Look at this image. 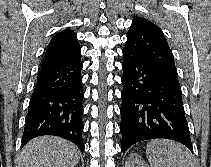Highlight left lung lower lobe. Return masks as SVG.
Here are the masks:
<instances>
[{"mask_svg": "<svg viewBox=\"0 0 211 167\" xmlns=\"http://www.w3.org/2000/svg\"><path fill=\"white\" fill-rule=\"evenodd\" d=\"M121 149L155 138L175 140L192 151L182 92L145 61L123 52Z\"/></svg>", "mask_w": 211, "mask_h": 167, "instance_id": "left-lung-lower-lobe-1", "label": "left lung lower lobe"}]
</instances>
